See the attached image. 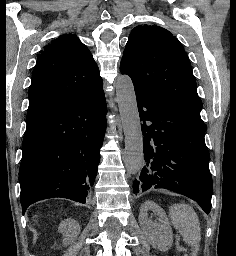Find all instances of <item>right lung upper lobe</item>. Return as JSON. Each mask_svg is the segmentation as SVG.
<instances>
[{"label": "right lung upper lobe", "instance_id": "obj_1", "mask_svg": "<svg viewBox=\"0 0 236 256\" xmlns=\"http://www.w3.org/2000/svg\"><path fill=\"white\" fill-rule=\"evenodd\" d=\"M92 54L72 34H64L38 55L29 91L27 124H35L71 101L102 87Z\"/></svg>", "mask_w": 236, "mask_h": 256}]
</instances>
